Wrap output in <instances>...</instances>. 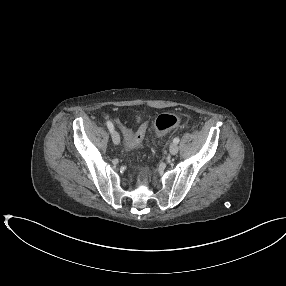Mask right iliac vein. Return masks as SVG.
Here are the masks:
<instances>
[{
    "label": "right iliac vein",
    "mask_w": 286,
    "mask_h": 286,
    "mask_svg": "<svg viewBox=\"0 0 286 286\" xmlns=\"http://www.w3.org/2000/svg\"><path fill=\"white\" fill-rule=\"evenodd\" d=\"M112 141L115 145H118L120 143V136H119L118 132H116V131L112 132Z\"/></svg>",
    "instance_id": "obj_1"
}]
</instances>
